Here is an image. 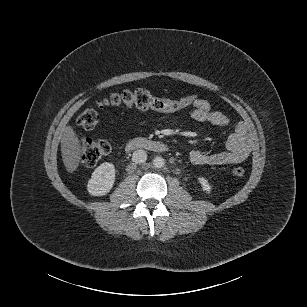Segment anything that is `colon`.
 Here are the masks:
<instances>
[{"mask_svg":"<svg viewBox=\"0 0 307 307\" xmlns=\"http://www.w3.org/2000/svg\"><path fill=\"white\" fill-rule=\"evenodd\" d=\"M194 102L195 98L192 96L180 99L157 98L147 89L124 90L99 99L94 107L86 109L79 115L77 123L84 129H93L99 122L98 110L108 107L127 106L136 107L141 110L169 113L192 106ZM80 144L81 160L84 165L89 167L96 165L106 156L112 146L109 139L83 138ZM231 174L236 178H241L244 176L245 170L243 167L235 166L232 168Z\"/></svg>","mask_w":307,"mask_h":307,"instance_id":"5ec220e1","label":"colon"}]
</instances>
